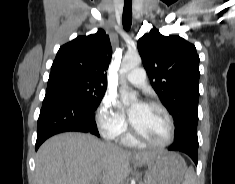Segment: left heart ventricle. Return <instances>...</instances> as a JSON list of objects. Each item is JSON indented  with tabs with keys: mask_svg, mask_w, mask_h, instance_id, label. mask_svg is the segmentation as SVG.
Wrapping results in <instances>:
<instances>
[{
	"mask_svg": "<svg viewBox=\"0 0 235 184\" xmlns=\"http://www.w3.org/2000/svg\"><path fill=\"white\" fill-rule=\"evenodd\" d=\"M131 113L135 114L133 126L143 137L155 142H164L169 135V121L158 107L134 105Z\"/></svg>",
	"mask_w": 235,
	"mask_h": 184,
	"instance_id": "obj_1",
	"label": "left heart ventricle"
}]
</instances>
